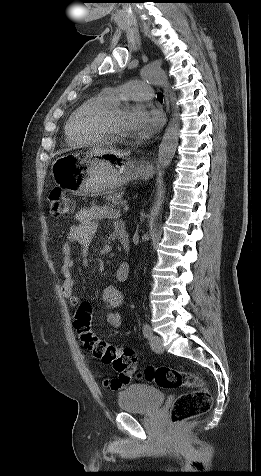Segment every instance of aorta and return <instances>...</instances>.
I'll list each match as a JSON object with an SVG mask.
<instances>
[{
  "mask_svg": "<svg viewBox=\"0 0 261 476\" xmlns=\"http://www.w3.org/2000/svg\"><path fill=\"white\" fill-rule=\"evenodd\" d=\"M142 77L151 84L167 88L170 101L173 105L174 113L172 114V118L165 130L158 150V166L165 169L170 165L175 155L180 134V124L177 112L178 107L175 105L176 98L174 93L169 89L167 75L162 69L153 65H148L143 69Z\"/></svg>",
  "mask_w": 261,
  "mask_h": 476,
  "instance_id": "1",
  "label": "aorta"
}]
</instances>
